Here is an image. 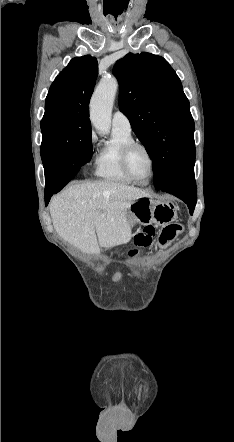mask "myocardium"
Here are the masks:
<instances>
[{
    "label": "myocardium",
    "mask_w": 234,
    "mask_h": 442,
    "mask_svg": "<svg viewBox=\"0 0 234 442\" xmlns=\"http://www.w3.org/2000/svg\"><path fill=\"white\" fill-rule=\"evenodd\" d=\"M137 147L143 149L146 152V154H147V156L149 158V161H150L151 173H150L149 178L146 181L138 180L132 174V172L130 170V167H129V155H130L131 151L134 148H137ZM121 166H122V169H123L124 173L126 174V176L132 182H135V183L140 184V185H146V184L150 183V181L153 179V177L155 175V159H154V156H153L151 150L145 144H143L141 142H138V141H134L133 140V141L128 142L127 144H125L123 146L122 151H121Z\"/></svg>",
    "instance_id": "myocardium-1"
}]
</instances>
